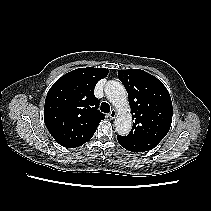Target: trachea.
Listing matches in <instances>:
<instances>
[{"mask_svg":"<svg viewBox=\"0 0 211 211\" xmlns=\"http://www.w3.org/2000/svg\"><path fill=\"white\" fill-rule=\"evenodd\" d=\"M101 111L104 113L110 112V105L106 102H103L100 107Z\"/></svg>","mask_w":211,"mask_h":211,"instance_id":"obj_1","label":"trachea"}]
</instances>
